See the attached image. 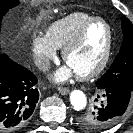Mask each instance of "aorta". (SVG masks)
<instances>
[{
	"instance_id": "762f6f07",
	"label": "aorta",
	"mask_w": 133,
	"mask_h": 133,
	"mask_svg": "<svg viewBox=\"0 0 133 133\" xmlns=\"http://www.w3.org/2000/svg\"><path fill=\"white\" fill-rule=\"evenodd\" d=\"M70 102L76 111L83 110L87 105V98L80 90H73L70 94Z\"/></svg>"
}]
</instances>
